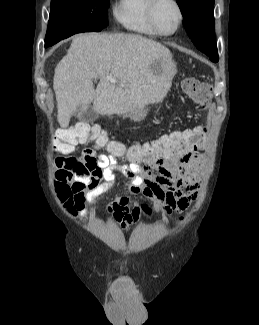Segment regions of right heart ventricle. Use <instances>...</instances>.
I'll return each instance as SVG.
<instances>
[{"label": "right heart ventricle", "instance_id": "obj_1", "mask_svg": "<svg viewBox=\"0 0 259 325\" xmlns=\"http://www.w3.org/2000/svg\"><path fill=\"white\" fill-rule=\"evenodd\" d=\"M148 4L149 0H118L114 7V16L122 26L132 32L157 36L147 18Z\"/></svg>", "mask_w": 259, "mask_h": 325}]
</instances>
